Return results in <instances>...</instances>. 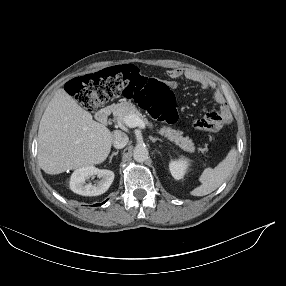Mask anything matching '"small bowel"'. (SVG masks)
I'll return each mask as SVG.
<instances>
[{
	"instance_id": "small-bowel-1",
	"label": "small bowel",
	"mask_w": 286,
	"mask_h": 286,
	"mask_svg": "<svg viewBox=\"0 0 286 286\" xmlns=\"http://www.w3.org/2000/svg\"><path fill=\"white\" fill-rule=\"evenodd\" d=\"M167 76L169 78V84L172 87L176 86V81L185 78L189 81L197 83L202 89H214L215 87L212 82L205 76L200 73L190 70V69H182V68H173L167 71ZM213 100L215 104L218 106V115L220 116L222 122H229L231 119V114L229 107L225 101L224 96L218 90L214 91Z\"/></svg>"
}]
</instances>
